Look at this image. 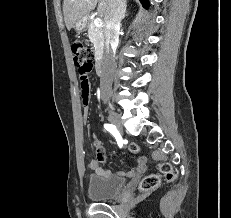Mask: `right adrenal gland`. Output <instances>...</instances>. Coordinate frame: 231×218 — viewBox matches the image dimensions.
Masks as SVG:
<instances>
[{
  "mask_svg": "<svg viewBox=\"0 0 231 218\" xmlns=\"http://www.w3.org/2000/svg\"><path fill=\"white\" fill-rule=\"evenodd\" d=\"M125 16H126V8H125V13H124V15H123V19L125 18Z\"/></svg>",
  "mask_w": 231,
  "mask_h": 218,
  "instance_id": "1",
  "label": "right adrenal gland"
}]
</instances>
